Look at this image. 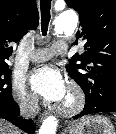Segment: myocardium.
I'll return each instance as SVG.
<instances>
[{
  "label": "myocardium",
  "mask_w": 116,
  "mask_h": 134,
  "mask_svg": "<svg viewBox=\"0 0 116 134\" xmlns=\"http://www.w3.org/2000/svg\"><path fill=\"white\" fill-rule=\"evenodd\" d=\"M67 101L57 107L58 113L70 117L79 113L85 105V95L77 85H71L67 92Z\"/></svg>",
  "instance_id": "myocardium-1"
}]
</instances>
